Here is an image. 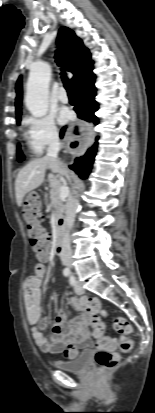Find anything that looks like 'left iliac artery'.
Instances as JSON below:
<instances>
[{
  "instance_id": "obj_1",
  "label": "left iliac artery",
  "mask_w": 155,
  "mask_h": 413,
  "mask_svg": "<svg viewBox=\"0 0 155 413\" xmlns=\"http://www.w3.org/2000/svg\"><path fill=\"white\" fill-rule=\"evenodd\" d=\"M69 281H70V284H71V285H74V283H75V278H74L73 276H70Z\"/></svg>"
}]
</instances>
